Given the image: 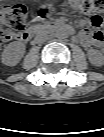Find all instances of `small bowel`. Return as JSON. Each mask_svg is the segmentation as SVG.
<instances>
[{"label": "small bowel", "mask_w": 104, "mask_h": 137, "mask_svg": "<svg viewBox=\"0 0 104 137\" xmlns=\"http://www.w3.org/2000/svg\"><path fill=\"white\" fill-rule=\"evenodd\" d=\"M11 38H16V39H20V40H27L28 39V37L26 36V33H23L17 37L12 36ZM78 40L80 41V43L83 46H85L87 48L98 46V42L93 39V37L90 35V33H88L87 31H84V30L79 32Z\"/></svg>", "instance_id": "1"}]
</instances>
